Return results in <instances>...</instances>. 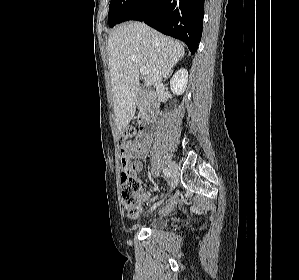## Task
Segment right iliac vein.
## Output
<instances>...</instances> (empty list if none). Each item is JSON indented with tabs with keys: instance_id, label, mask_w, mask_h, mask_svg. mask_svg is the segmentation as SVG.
<instances>
[{
	"instance_id": "right-iliac-vein-1",
	"label": "right iliac vein",
	"mask_w": 299,
	"mask_h": 280,
	"mask_svg": "<svg viewBox=\"0 0 299 280\" xmlns=\"http://www.w3.org/2000/svg\"><path fill=\"white\" fill-rule=\"evenodd\" d=\"M169 168L172 174V182H171V189L175 188L178 183V167L177 164L173 161L169 163ZM160 203H157L151 207V211L155 210Z\"/></svg>"
}]
</instances>
